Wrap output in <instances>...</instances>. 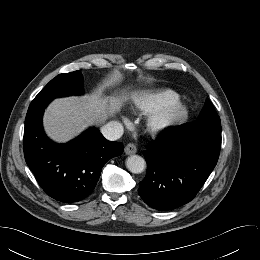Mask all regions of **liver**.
Here are the masks:
<instances>
[{
  "label": "liver",
  "instance_id": "1",
  "mask_svg": "<svg viewBox=\"0 0 260 260\" xmlns=\"http://www.w3.org/2000/svg\"><path fill=\"white\" fill-rule=\"evenodd\" d=\"M128 99L127 93L105 96L101 89L83 97L55 99L44 114L45 131L54 141L67 142L88 126L104 123L108 117L119 112Z\"/></svg>",
  "mask_w": 260,
  "mask_h": 260
}]
</instances>
